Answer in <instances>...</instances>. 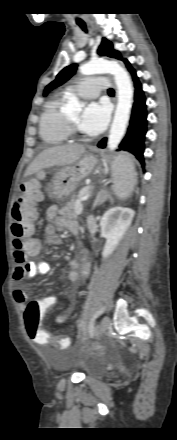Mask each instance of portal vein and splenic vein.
<instances>
[{
	"label": "portal vein and splenic vein",
	"mask_w": 177,
	"mask_h": 440,
	"mask_svg": "<svg viewBox=\"0 0 177 440\" xmlns=\"http://www.w3.org/2000/svg\"><path fill=\"white\" fill-rule=\"evenodd\" d=\"M88 189H89V188H88ZM87 192H88V190H87ZM83 195H85V194H83ZM83 195H81V196H83ZM85 198H86V196L81 197V199H85ZM82 210H83V207H82L81 205H77V207H76V214H77V215L81 214V213H82Z\"/></svg>",
	"instance_id": "1"
}]
</instances>
